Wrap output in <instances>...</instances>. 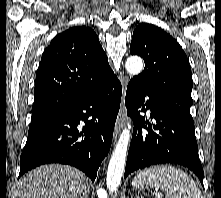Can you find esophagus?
<instances>
[{
	"mask_svg": "<svg viewBox=\"0 0 221 198\" xmlns=\"http://www.w3.org/2000/svg\"><path fill=\"white\" fill-rule=\"evenodd\" d=\"M126 85L127 81L123 83V93H122V100H121V106L119 113L117 115L115 127H114V133H113V138L114 140L117 139L121 129L124 126L125 118H126V105H125V98H126Z\"/></svg>",
	"mask_w": 221,
	"mask_h": 198,
	"instance_id": "obj_1",
	"label": "esophagus"
}]
</instances>
